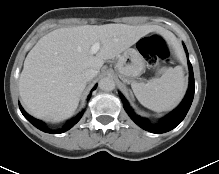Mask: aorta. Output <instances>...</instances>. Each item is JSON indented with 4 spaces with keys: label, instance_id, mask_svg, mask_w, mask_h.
I'll return each instance as SVG.
<instances>
[{
    "label": "aorta",
    "instance_id": "obj_1",
    "mask_svg": "<svg viewBox=\"0 0 219 174\" xmlns=\"http://www.w3.org/2000/svg\"><path fill=\"white\" fill-rule=\"evenodd\" d=\"M99 88L103 91H112L115 88V81L110 77L102 78L99 81Z\"/></svg>",
    "mask_w": 219,
    "mask_h": 174
}]
</instances>
